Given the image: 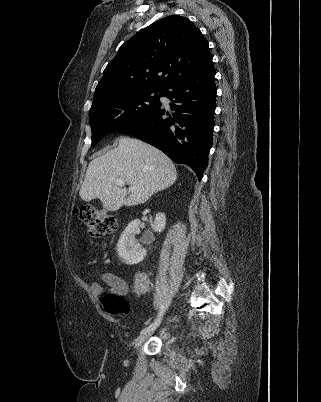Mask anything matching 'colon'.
Instances as JSON below:
<instances>
[{
    "label": "colon",
    "instance_id": "colon-1",
    "mask_svg": "<svg viewBox=\"0 0 321 402\" xmlns=\"http://www.w3.org/2000/svg\"><path fill=\"white\" fill-rule=\"evenodd\" d=\"M78 219L87 227L92 238H101L106 234L113 233L118 228L117 219L94 206H85L77 210ZM105 311L111 315H126L129 312L128 301L119 294L110 293L103 297Z\"/></svg>",
    "mask_w": 321,
    "mask_h": 402
}]
</instances>
